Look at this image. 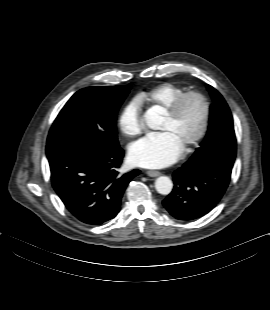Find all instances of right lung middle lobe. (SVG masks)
Instances as JSON below:
<instances>
[{"label": "right lung middle lobe", "mask_w": 270, "mask_h": 310, "mask_svg": "<svg viewBox=\"0 0 270 310\" xmlns=\"http://www.w3.org/2000/svg\"><path fill=\"white\" fill-rule=\"evenodd\" d=\"M130 88L96 86L76 92L55 119L47 145L75 144L107 150L119 147L116 115Z\"/></svg>", "instance_id": "obj_1"}]
</instances>
